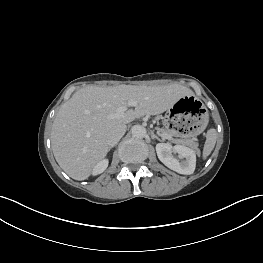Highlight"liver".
I'll use <instances>...</instances> for the list:
<instances>
[{"label": "liver", "instance_id": "6515ba94", "mask_svg": "<svg viewBox=\"0 0 263 263\" xmlns=\"http://www.w3.org/2000/svg\"><path fill=\"white\" fill-rule=\"evenodd\" d=\"M193 95L182 85L86 86L76 91L57 112L51 130V146L59 166L71 178L85 180L110 147L111 131L145 115L161 114L181 97ZM136 102L134 110L114 117L120 106Z\"/></svg>", "mask_w": 263, "mask_h": 263}]
</instances>
